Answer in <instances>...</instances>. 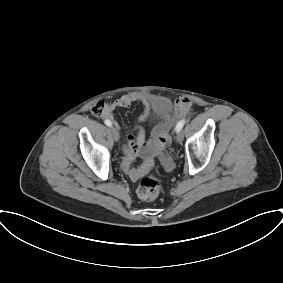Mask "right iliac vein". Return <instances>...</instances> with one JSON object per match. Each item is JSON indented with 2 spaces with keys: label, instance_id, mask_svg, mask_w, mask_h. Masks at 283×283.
I'll return each mask as SVG.
<instances>
[{
  "label": "right iliac vein",
  "instance_id": "1",
  "mask_svg": "<svg viewBox=\"0 0 283 283\" xmlns=\"http://www.w3.org/2000/svg\"><path fill=\"white\" fill-rule=\"evenodd\" d=\"M110 131L112 133V136H113L114 140L118 141L119 140V132H118V130L115 127H111Z\"/></svg>",
  "mask_w": 283,
  "mask_h": 283
}]
</instances>
